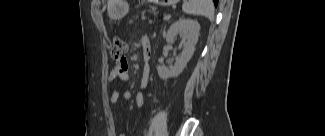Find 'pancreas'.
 Returning <instances> with one entry per match:
<instances>
[{"instance_id":"pancreas-1","label":"pancreas","mask_w":325,"mask_h":136,"mask_svg":"<svg viewBox=\"0 0 325 136\" xmlns=\"http://www.w3.org/2000/svg\"><path fill=\"white\" fill-rule=\"evenodd\" d=\"M159 10L155 5H150L149 7H146L145 12H138L137 18L138 19H145V22H148L150 24H158L160 22V19L158 17Z\"/></svg>"}]
</instances>
